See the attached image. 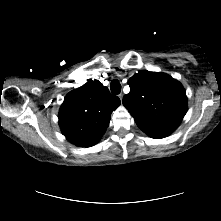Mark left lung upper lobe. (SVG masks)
Instances as JSON below:
<instances>
[{"label": "left lung upper lobe", "mask_w": 221, "mask_h": 221, "mask_svg": "<svg viewBox=\"0 0 221 221\" xmlns=\"http://www.w3.org/2000/svg\"><path fill=\"white\" fill-rule=\"evenodd\" d=\"M124 106L137 126L152 138L170 135L187 111V97L180 82L164 73L141 71L128 81Z\"/></svg>", "instance_id": "left-lung-upper-lobe-1"}]
</instances>
